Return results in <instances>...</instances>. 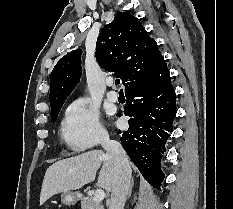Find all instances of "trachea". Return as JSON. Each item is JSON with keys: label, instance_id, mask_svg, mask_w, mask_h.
<instances>
[{"label": "trachea", "instance_id": "obj_1", "mask_svg": "<svg viewBox=\"0 0 233 209\" xmlns=\"http://www.w3.org/2000/svg\"><path fill=\"white\" fill-rule=\"evenodd\" d=\"M115 84H116V85H119V84H120V80H119V79H116V80H115Z\"/></svg>", "mask_w": 233, "mask_h": 209}]
</instances>
